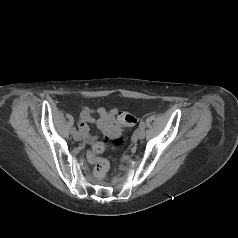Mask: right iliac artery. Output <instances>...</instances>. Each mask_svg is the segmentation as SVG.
I'll return each mask as SVG.
<instances>
[{
	"instance_id": "82829eb1",
	"label": "right iliac artery",
	"mask_w": 238,
	"mask_h": 238,
	"mask_svg": "<svg viewBox=\"0 0 238 238\" xmlns=\"http://www.w3.org/2000/svg\"><path fill=\"white\" fill-rule=\"evenodd\" d=\"M76 132H77L76 127H73L72 130H71V133L75 134Z\"/></svg>"
}]
</instances>
